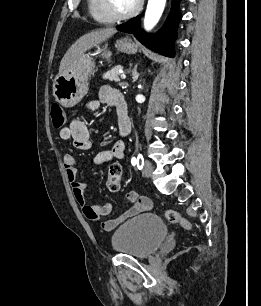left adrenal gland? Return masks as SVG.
<instances>
[{"instance_id": "a2214340", "label": "left adrenal gland", "mask_w": 261, "mask_h": 306, "mask_svg": "<svg viewBox=\"0 0 261 306\" xmlns=\"http://www.w3.org/2000/svg\"><path fill=\"white\" fill-rule=\"evenodd\" d=\"M139 77V73H137V65L134 67L133 72H132V79L133 82L137 81Z\"/></svg>"}]
</instances>
